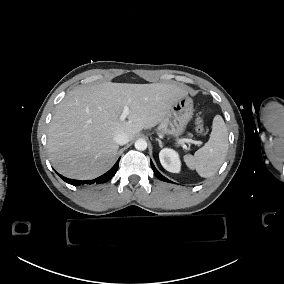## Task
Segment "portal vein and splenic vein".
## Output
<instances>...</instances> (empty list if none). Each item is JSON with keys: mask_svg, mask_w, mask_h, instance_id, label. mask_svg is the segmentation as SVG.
Returning <instances> with one entry per match:
<instances>
[{"mask_svg": "<svg viewBox=\"0 0 284 284\" xmlns=\"http://www.w3.org/2000/svg\"><path fill=\"white\" fill-rule=\"evenodd\" d=\"M129 113H130V109H129V107H128L127 105H125V106L123 107V111H122V113H121L119 119H120L121 121H125V119H126L127 116L129 115ZM179 142L184 145V143H192L193 140H192V139H179ZM195 142H196V144H198V145H200V144L202 143L201 141H195ZM183 148H184V146H183Z\"/></svg>", "mask_w": 284, "mask_h": 284, "instance_id": "portal-vein-and-splenic-vein-1", "label": "portal vein and splenic vein"}]
</instances>
